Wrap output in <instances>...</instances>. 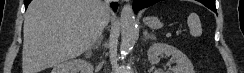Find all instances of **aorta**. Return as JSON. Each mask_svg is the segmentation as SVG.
Masks as SVG:
<instances>
[{
	"label": "aorta",
	"instance_id": "obj_1",
	"mask_svg": "<svg viewBox=\"0 0 244 73\" xmlns=\"http://www.w3.org/2000/svg\"><path fill=\"white\" fill-rule=\"evenodd\" d=\"M121 24V51L123 54L129 52L134 44L137 25L131 5L123 6L120 16Z\"/></svg>",
	"mask_w": 244,
	"mask_h": 73
}]
</instances>
